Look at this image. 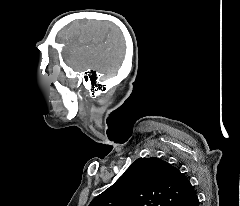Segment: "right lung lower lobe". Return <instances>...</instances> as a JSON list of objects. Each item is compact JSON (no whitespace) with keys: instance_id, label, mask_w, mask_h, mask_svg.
Masks as SVG:
<instances>
[{"instance_id":"right-lung-lower-lobe-1","label":"right lung lower lobe","mask_w":240,"mask_h":206,"mask_svg":"<svg viewBox=\"0 0 240 206\" xmlns=\"http://www.w3.org/2000/svg\"><path fill=\"white\" fill-rule=\"evenodd\" d=\"M178 206H199V200L197 195L191 197L190 199L178 204Z\"/></svg>"}]
</instances>
